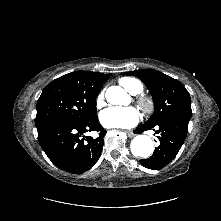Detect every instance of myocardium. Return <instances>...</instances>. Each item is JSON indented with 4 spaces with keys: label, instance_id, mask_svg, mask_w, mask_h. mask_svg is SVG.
<instances>
[{
    "label": "myocardium",
    "instance_id": "myocardium-1",
    "mask_svg": "<svg viewBox=\"0 0 221 221\" xmlns=\"http://www.w3.org/2000/svg\"><path fill=\"white\" fill-rule=\"evenodd\" d=\"M137 103L145 114H150L154 110V101L150 96H140Z\"/></svg>",
    "mask_w": 221,
    "mask_h": 221
}]
</instances>
